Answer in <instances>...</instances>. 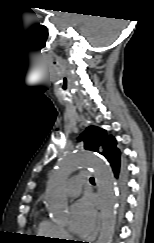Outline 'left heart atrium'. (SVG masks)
<instances>
[{"mask_svg": "<svg viewBox=\"0 0 154 243\" xmlns=\"http://www.w3.org/2000/svg\"><path fill=\"white\" fill-rule=\"evenodd\" d=\"M96 212L93 200L86 196L72 207L70 229L78 235H87L95 227Z\"/></svg>", "mask_w": 154, "mask_h": 243, "instance_id": "39dd6f15", "label": "left heart atrium"}]
</instances>
